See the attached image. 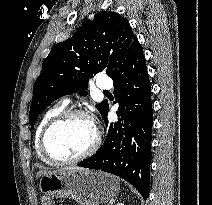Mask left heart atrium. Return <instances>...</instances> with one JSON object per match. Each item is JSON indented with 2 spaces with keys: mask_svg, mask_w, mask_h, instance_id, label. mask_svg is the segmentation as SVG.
I'll use <instances>...</instances> for the list:
<instances>
[{
  "mask_svg": "<svg viewBox=\"0 0 212 205\" xmlns=\"http://www.w3.org/2000/svg\"><path fill=\"white\" fill-rule=\"evenodd\" d=\"M91 123H92V125H93L94 127H96V125H95V123H94L93 121H92Z\"/></svg>",
  "mask_w": 212,
  "mask_h": 205,
  "instance_id": "left-heart-atrium-1",
  "label": "left heart atrium"
}]
</instances>
